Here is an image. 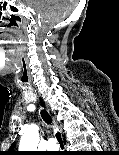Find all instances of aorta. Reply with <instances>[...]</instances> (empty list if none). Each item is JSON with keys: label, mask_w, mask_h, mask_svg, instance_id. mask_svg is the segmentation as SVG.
<instances>
[{"label": "aorta", "mask_w": 119, "mask_h": 155, "mask_svg": "<svg viewBox=\"0 0 119 155\" xmlns=\"http://www.w3.org/2000/svg\"><path fill=\"white\" fill-rule=\"evenodd\" d=\"M38 126L32 124L28 127L20 140L19 149L21 151H35L39 142Z\"/></svg>", "instance_id": "obj_1"}]
</instances>
